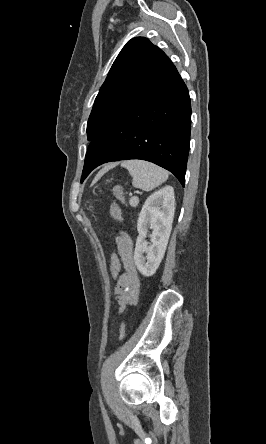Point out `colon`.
Returning <instances> with one entry per match:
<instances>
[{
    "instance_id": "colon-1",
    "label": "colon",
    "mask_w": 266,
    "mask_h": 444,
    "mask_svg": "<svg viewBox=\"0 0 266 444\" xmlns=\"http://www.w3.org/2000/svg\"><path fill=\"white\" fill-rule=\"evenodd\" d=\"M114 196L119 200L123 201L124 199V189L121 186H116L113 189ZM111 216L117 220H121V210L117 204H112L110 208ZM110 274L113 279L119 278V273L121 270V259L118 251H113L110 258ZM127 334V325L125 322H123L119 328L118 337L119 340H122Z\"/></svg>"
}]
</instances>
